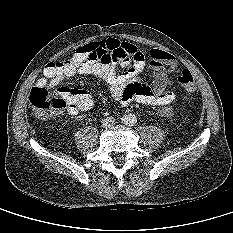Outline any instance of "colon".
<instances>
[{
	"instance_id": "1",
	"label": "colon",
	"mask_w": 233,
	"mask_h": 233,
	"mask_svg": "<svg viewBox=\"0 0 233 233\" xmlns=\"http://www.w3.org/2000/svg\"><path fill=\"white\" fill-rule=\"evenodd\" d=\"M68 60H65V62ZM178 81L187 92L196 90L193 75L189 70L184 69L180 73ZM29 101L35 114L41 118L51 117L67 107V102L61 95L52 94L46 87L33 88L29 95Z\"/></svg>"
}]
</instances>
